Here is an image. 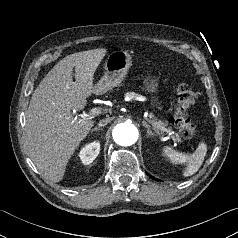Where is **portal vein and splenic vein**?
Here are the masks:
<instances>
[{
  "label": "portal vein and splenic vein",
  "instance_id": "obj_1",
  "mask_svg": "<svg viewBox=\"0 0 238 238\" xmlns=\"http://www.w3.org/2000/svg\"><path fill=\"white\" fill-rule=\"evenodd\" d=\"M100 113H101V109H100V108H92V109L89 111L88 114H85V115H83L82 117H84V118H90V117L96 116V115H98V114H100ZM149 122L152 124V126H153L154 128H156L155 122H153V121H151V120H149Z\"/></svg>",
  "mask_w": 238,
  "mask_h": 238
}]
</instances>
